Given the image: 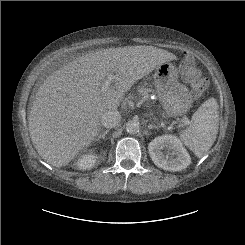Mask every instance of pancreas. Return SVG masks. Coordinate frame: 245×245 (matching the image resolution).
<instances>
[{"label":"pancreas","mask_w":245,"mask_h":245,"mask_svg":"<svg viewBox=\"0 0 245 245\" xmlns=\"http://www.w3.org/2000/svg\"><path fill=\"white\" fill-rule=\"evenodd\" d=\"M138 92L140 93V95H142L144 98H148L150 93L152 92V90L150 88H146V87H139L138 88Z\"/></svg>","instance_id":"pancreas-1"}]
</instances>
